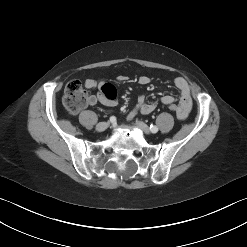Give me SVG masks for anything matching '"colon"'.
Instances as JSON below:
<instances>
[{
	"label": "colon",
	"instance_id": "1",
	"mask_svg": "<svg viewBox=\"0 0 247 247\" xmlns=\"http://www.w3.org/2000/svg\"><path fill=\"white\" fill-rule=\"evenodd\" d=\"M87 104V94L79 81L69 82L64 90L63 105L70 113L80 111ZM168 108L174 114L178 112V105L170 103Z\"/></svg>",
	"mask_w": 247,
	"mask_h": 247
}]
</instances>
